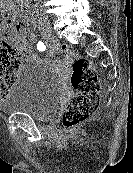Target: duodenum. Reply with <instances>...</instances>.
Listing matches in <instances>:
<instances>
[{
  "mask_svg": "<svg viewBox=\"0 0 133 173\" xmlns=\"http://www.w3.org/2000/svg\"><path fill=\"white\" fill-rule=\"evenodd\" d=\"M16 1L20 4V6H21V8H22V10H23V12H24V14H25L27 17H29V16L31 15V8H30V6L27 5V4L24 2V0H16Z\"/></svg>",
  "mask_w": 133,
  "mask_h": 173,
  "instance_id": "obj_1",
  "label": "duodenum"
}]
</instances>
